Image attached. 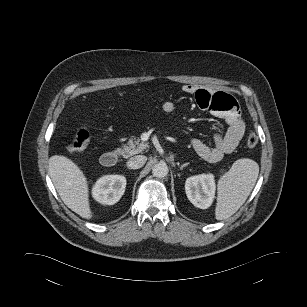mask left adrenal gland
Masks as SVG:
<instances>
[{
	"label": "left adrenal gland",
	"mask_w": 307,
	"mask_h": 307,
	"mask_svg": "<svg viewBox=\"0 0 307 307\" xmlns=\"http://www.w3.org/2000/svg\"><path fill=\"white\" fill-rule=\"evenodd\" d=\"M189 163H184L183 165H181L180 170H183L184 167L188 166Z\"/></svg>",
	"instance_id": "obj_1"
}]
</instances>
